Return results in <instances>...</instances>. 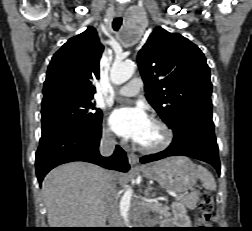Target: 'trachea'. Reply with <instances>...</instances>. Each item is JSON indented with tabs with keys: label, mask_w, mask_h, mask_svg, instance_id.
I'll list each match as a JSON object with an SVG mask.
<instances>
[{
	"label": "trachea",
	"mask_w": 252,
	"mask_h": 231,
	"mask_svg": "<svg viewBox=\"0 0 252 231\" xmlns=\"http://www.w3.org/2000/svg\"><path fill=\"white\" fill-rule=\"evenodd\" d=\"M121 25H122V18L121 17H117L113 20L112 26L115 31H118L119 28L121 27Z\"/></svg>",
	"instance_id": "obj_1"
}]
</instances>
